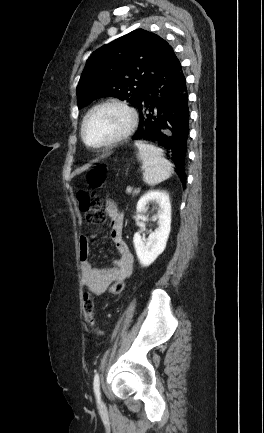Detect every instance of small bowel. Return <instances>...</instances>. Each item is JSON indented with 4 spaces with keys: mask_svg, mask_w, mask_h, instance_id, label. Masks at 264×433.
I'll return each mask as SVG.
<instances>
[{
    "mask_svg": "<svg viewBox=\"0 0 264 433\" xmlns=\"http://www.w3.org/2000/svg\"><path fill=\"white\" fill-rule=\"evenodd\" d=\"M105 211L111 222L110 237L119 255L114 261V266L94 267L90 261L89 238L81 236L79 239L82 283L94 296L103 294L112 283L126 280L133 270V255L123 239V216L117 205L110 200L105 203ZM86 328L89 330L87 324Z\"/></svg>",
    "mask_w": 264,
    "mask_h": 433,
    "instance_id": "small-bowel-1",
    "label": "small bowel"
}]
</instances>
